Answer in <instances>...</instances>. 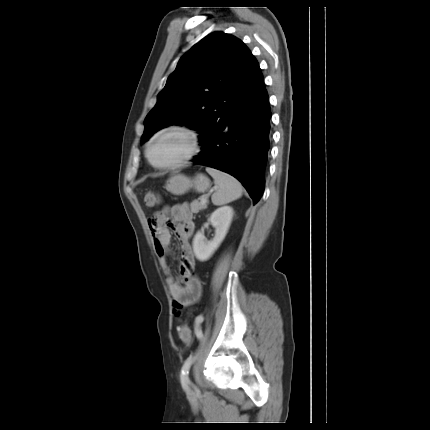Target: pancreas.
Returning a JSON list of instances; mask_svg holds the SVG:
<instances>
[{"label":"pancreas","instance_id":"cf45deb5","mask_svg":"<svg viewBox=\"0 0 430 430\" xmlns=\"http://www.w3.org/2000/svg\"><path fill=\"white\" fill-rule=\"evenodd\" d=\"M206 204H207V202L202 204L198 200H194L193 202L190 203L191 211L193 213H198L200 210H203L206 208V206H207Z\"/></svg>","mask_w":430,"mask_h":430}]
</instances>
